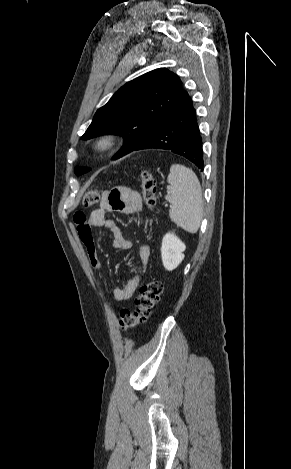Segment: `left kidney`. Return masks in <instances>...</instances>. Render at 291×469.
<instances>
[{"label": "left kidney", "instance_id": "5707ae66", "mask_svg": "<svg viewBox=\"0 0 291 469\" xmlns=\"http://www.w3.org/2000/svg\"><path fill=\"white\" fill-rule=\"evenodd\" d=\"M185 244L173 233H167L162 239L161 258L166 270L172 271L184 259Z\"/></svg>", "mask_w": 291, "mask_h": 469}]
</instances>
